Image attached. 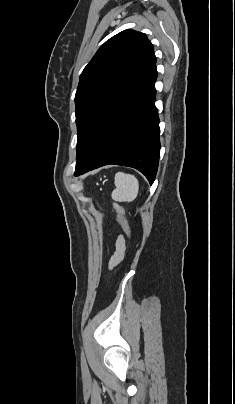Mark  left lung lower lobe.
<instances>
[{
	"label": "left lung lower lobe",
	"instance_id": "0a47b994",
	"mask_svg": "<svg viewBox=\"0 0 235 404\" xmlns=\"http://www.w3.org/2000/svg\"><path fill=\"white\" fill-rule=\"evenodd\" d=\"M157 70L101 126L76 162L75 176L108 165H124L154 182L160 155L159 119L155 100Z\"/></svg>",
	"mask_w": 235,
	"mask_h": 404
}]
</instances>
